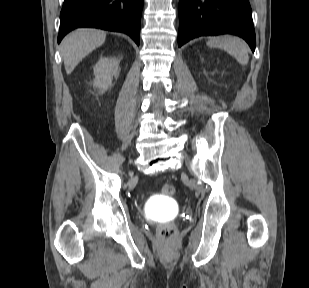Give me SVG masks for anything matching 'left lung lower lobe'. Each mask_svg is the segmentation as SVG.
Returning a JSON list of instances; mask_svg holds the SVG:
<instances>
[{
  "label": "left lung lower lobe",
  "mask_w": 309,
  "mask_h": 288,
  "mask_svg": "<svg viewBox=\"0 0 309 288\" xmlns=\"http://www.w3.org/2000/svg\"><path fill=\"white\" fill-rule=\"evenodd\" d=\"M235 34L254 52L252 11L248 0H180L178 46L208 35Z\"/></svg>",
  "instance_id": "0a47b994"
}]
</instances>
